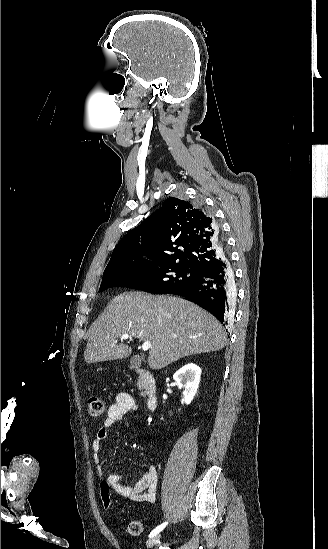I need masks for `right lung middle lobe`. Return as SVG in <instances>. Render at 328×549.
I'll use <instances>...</instances> for the list:
<instances>
[{
    "label": "right lung middle lobe",
    "instance_id": "obj_1",
    "mask_svg": "<svg viewBox=\"0 0 328 549\" xmlns=\"http://www.w3.org/2000/svg\"><path fill=\"white\" fill-rule=\"evenodd\" d=\"M196 275V270L177 264L127 260L105 270L99 292L126 286L162 294L191 282Z\"/></svg>",
    "mask_w": 328,
    "mask_h": 549
}]
</instances>
